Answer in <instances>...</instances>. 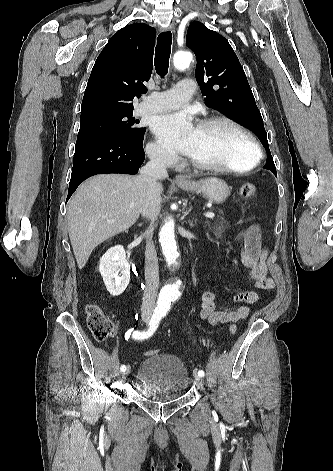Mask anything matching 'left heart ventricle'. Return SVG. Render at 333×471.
<instances>
[{
  "mask_svg": "<svg viewBox=\"0 0 333 471\" xmlns=\"http://www.w3.org/2000/svg\"><path fill=\"white\" fill-rule=\"evenodd\" d=\"M190 157L204 163L245 167L254 152L247 138L230 125L198 127Z\"/></svg>",
  "mask_w": 333,
  "mask_h": 471,
  "instance_id": "b2bd125f",
  "label": "left heart ventricle"
}]
</instances>
